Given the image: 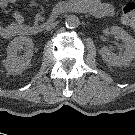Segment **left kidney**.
<instances>
[{"label":"left kidney","instance_id":"1","mask_svg":"<svg viewBox=\"0 0 135 135\" xmlns=\"http://www.w3.org/2000/svg\"><path fill=\"white\" fill-rule=\"evenodd\" d=\"M111 34L118 36L124 43V53L116 55L107 47L104 46L99 51L103 60L111 66H126L135 58V39L129 35L124 29L118 26H112Z\"/></svg>","mask_w":135,"mask_h":135}]
</instances>
